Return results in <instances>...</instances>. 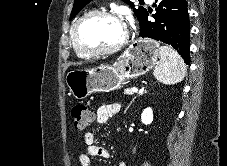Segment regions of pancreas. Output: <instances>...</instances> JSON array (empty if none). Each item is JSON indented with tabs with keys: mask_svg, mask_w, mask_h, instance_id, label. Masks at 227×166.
Listing matches in <instances>:
<instances>
[{
	"mask_svg": "<svg viewBox=\"0 0 227 166\" xmlns=\"http://www.w3.org/2000/svg\"><path fill=\"white\" fill-rule=\"evenodd\" d=\"M124 94H126V95H132L133 93H132V88H127V89H125L124 90Z\"/></svg>",
	"mask_w": 227,
	"mask_h": 166,
	"instance_id": "1",
	"label": "pancreas"
}]
</instances>
